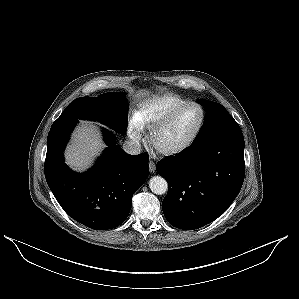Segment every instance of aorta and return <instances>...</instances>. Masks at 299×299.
<instances>
[{"mask_svg":"<svg viewBox=\"0 0 299 299\" xmlns=\"http://www.w3.org/2000/svg\"><path fill=\"white\" fill-rule=\"evenodd\" d=\"M149 187L154 194L163 195L168 190V183L163 177L154 176L149 180Z\"/></svg>","mask_w":299,"mask_h":299,"instance_id":"762f6f07","label":"aorta"}]
</instances>
